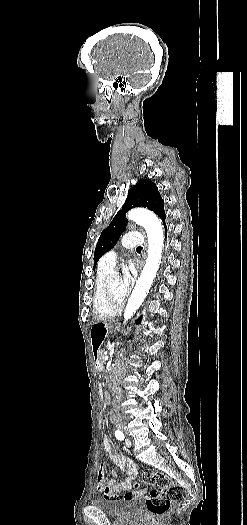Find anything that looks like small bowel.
<instances>
[{
	"label": "small bowel",
	"mask_w": 247,
	"mask_h": 525,
	"mask_svg": "<svg viewBox=\"0 0 247 525\" xmlns=\"http://www.w3.org/2000/svg\"><path fill=\"white\" fill-rule=\"evenodd\" d=\"M104 449L108 455V458L110 461L118 467L121 471L128 474L129 476H135L138 473V466L128 457L117 453L114 450L113 443L109 436L105 435L102 440ZM97 482H98V488L100 491H102V494H105V491H113L116 488L115 483L112 482V480L105 478L104 472L102 468H100L97 472ZM132 482L130 480H127L120 485H118L119 492L125 491L124 498L125 499H131L133 497H138L142 494V492H132ZM110 501H119L122 499L121 495H116L110 498H106Z\"/></svg>",
	"instance_id": "small-bowel-1"
}]
</instances>
